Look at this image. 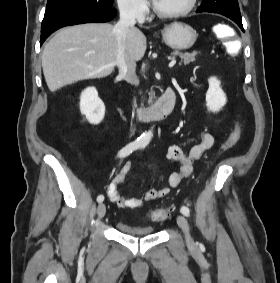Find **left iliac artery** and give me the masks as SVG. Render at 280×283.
<instances>
[{
  "label": "left iliac artery",
  "mask_w": 280,
  "mask_h": 283,
  "mask_svg": "<svg viewBox=\"0 0 280 283\" xmlns=\"http://www.w3.org/2000/svg\"><path fill=\"white\" fill-rule=\"evenodd\" d=\"M145 146L143 145L142 148H144ZM181 213L186 216V217H189L190 216V210L188 207L186 206H182L181 209H180Z\"/></svg>",
  "instance_id": "left-iliac-artery-1"
}]
</instances>
